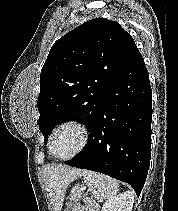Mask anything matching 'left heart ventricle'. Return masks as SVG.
<instances>
[{
  "instance_id": "1",
  "label": "left heart ventricle",
  "mask_w": 178,
  "mask_h": 211,
  "mask_svg": "<svg viewBox=\"0 0 178 211\" xmlns=\"http://www.w3.org/2000/svg\"><path fill=\"white\" fill-rule=\"evenodd\" d=\"M81 134L78 129L67 126L61 129L55 139V150L59 156H68L80 145Z\"/></svg>"
}]
</instances>
